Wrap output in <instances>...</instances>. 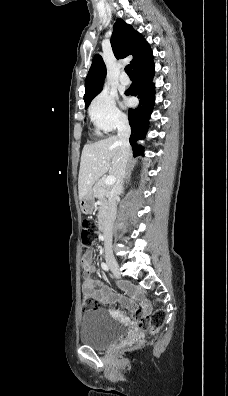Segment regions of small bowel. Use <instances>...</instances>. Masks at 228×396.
<instances>
[{
  "label": "small bowel",
  "mask_w": 228,
  "mask_h": 396,
  "mask_svg": "<svg viewBox=\"0 0 228 396\" xmlns=\"http://www.w3.org/2000/svg\"><path fill=\"white\" fill-rule=\"evenodd\" d=\"M82 268L83 283L81 289L84 295L93 296L99 302L104 304L119 303L137 315L147 314L150 312L151 306L149 302L142 299L139 292L131 284L122 283L121 287L128 292L132 299L116 294L100 280L92 279L91 275L96 271V267L93 264L92 255L90 253L84 260H82Z\"/></svg>",
  "instance_id": "1"
}]
</instances>
